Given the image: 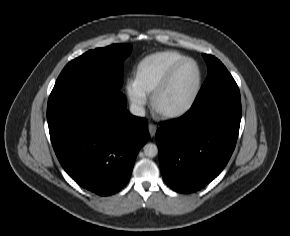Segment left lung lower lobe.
Returning <instances> with one entry per match:
<instances>
[{
  "label": "left lung lower lobe",
  "instance_id": "obj_1",
  "mask_svg": "<svg viewBox=\"0 0 290 236\" xmlns=\"http://www.w3.org/2000/svg\"><path fill=\"white\" fill-rule=\"evenodd\" d=\"M241 115L235 85L194 103L182 117L162 122L156 141L166 184L191 193L216 178L235 148Z\"/></svg>",
  "mask_w": 290,
  "mask_h": 236
}]
</instances>
